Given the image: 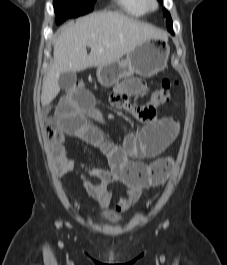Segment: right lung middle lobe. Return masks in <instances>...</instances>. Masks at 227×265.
<instances>
[{"label":"right lung middle lobe","instance_id":"dd1d6c3e","mask_svg":"<svg viewBox=\"0 0 227 265\" xmlns=\"http://www.w3.org/2000/svg\"><path fill=\"white\" fill-rule=\"evenodd\" d=\"M96 0H54V10L58 14L57 22L61 23L69 17L89 13Z\"/></svg>","mask_w":227,"mask_h":265}]
</instances>
